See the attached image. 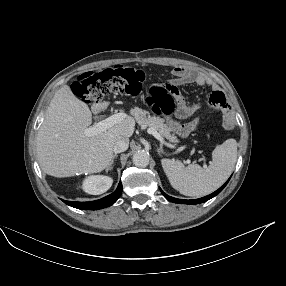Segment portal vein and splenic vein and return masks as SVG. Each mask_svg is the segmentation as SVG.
<instances>
[{
  "label": "portal vein and splenic vein",
  "mask_w": 286,
  "mask_h": 286,
  "mask_svg": "<svg viewBox=\"0 0 286 286\" xmlns=\"http://www.w3.org/2000/svg\"><path fill=\"white\" fill-rule=\"evenodd\" d=\"M126 118V114L124 113H118L115 115H112L110 117H108L105 120H101L100 122H98L97 124L85 129L84 134L86 136H94L97 135L100 132L105 131L106 129L120 123L121 121H123ZM148 133L152 134L156 139H158L162 144L167 145L168 147L173 148V145H170L168 143L165 142V140L163 139V137L155 130L152 128L148 129Z\"/></svg>",
  "instance_id": "obj_1"
}]
</instances>
